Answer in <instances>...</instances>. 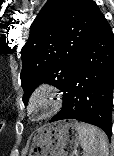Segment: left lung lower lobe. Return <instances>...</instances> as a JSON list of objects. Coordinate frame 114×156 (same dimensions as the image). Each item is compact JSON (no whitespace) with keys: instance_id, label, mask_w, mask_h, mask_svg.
Returning a JSON list of instances; mask_svg holds the SVG:
<instances>
[{"instance_id":"0a47b994","label":"left lung lower lobe","mask_w":114,"mask_h":156,"mask_svg":"<svg viewBox=\"0 0 114 156\" xmlns=\"http://www.w3.org/2000/svg\"><path fill=\"white\" fill-rule=\"evenodd\" d=\"M114 88V35L99 12L78 56L63 107L50 122L77 119L100 127L110 138Z\"/></svg>"}]
</instances>
